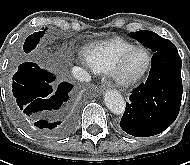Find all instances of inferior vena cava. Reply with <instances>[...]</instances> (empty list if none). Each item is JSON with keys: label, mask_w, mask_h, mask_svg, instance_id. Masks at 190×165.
<instances>
[{"label": "inferior vena cava", "mask_w": 190, "mask_h": 165, "mask_svg": "<svg viewBox=\"0 0 190 165\" xmlns=\"http://www.w3.org/2000/svg\"><path fill=\"white\" fill-rule=\"evenodd\" d=\"M72 74H73L74 78L79 81L89 82L91 79V76L89 75V73L86 70H84L83 68L77 67V66L73 67Z\"/></svg>", "instance_id": "602c4592"}]
</instances>
